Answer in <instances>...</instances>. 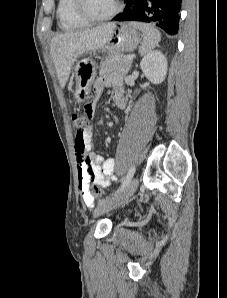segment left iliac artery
<instances>
[{
  "label": "left iliac artery",
  "instance_id": "44dca946",
  "mask_svg": "<svg viewBox=\"0 0 227 298\" xmlns=\"http://www.w3.org/2000/svg\"><path fill=\"white\" fill-rule=\"evenodd\" d=\"M135 173V167H131L124 179V181L122 182L121 186L118 188L117 191L114 192V194H118L119 192H121L131 181L133 175Z\"/></svg>",
  "mask_w": 227,
  "mask_h": 298
}]
</instances>
